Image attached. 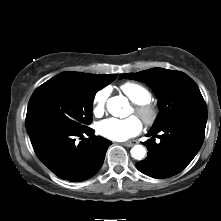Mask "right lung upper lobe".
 Segmentation results:
<instances>
[{
  "label": "right lung upper lobe",
  "mask_w": 221,
  "mask_h": 221,
  "mask_svg": "<svg viewBox=\"0 0 221 221\" xmlns=\"http://www.w3.org/2000/svg\"><path fill=\"white\" fill-rule=\"evenodd\" d=\"M61 74L62 75H69V76H73L76 78L85 79V80H89V81H93V82H97V83L103 84L105 86L108 85L109 83H111L117 76L116 74L94 75V74L72 72V71L63 72Z\"/></svg>",
  "instance_id": "1"
}]
</instances>
